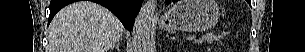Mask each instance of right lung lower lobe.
<instances>
[{
	"instance_id": "obj_1",
	"label": "right lung lower lobe",
	"mask_w": 305,
	"mask_h": 52,
	"mask_svg": "<svg viewBox=\"0 0 305 52\" xmlns=\"http://www.w3.org/2000/svg\"><path fill=\"white\" fill-rule=\"evenodd\" d=\"M78 0H51L50 15L48 24L51 22L55 14L64 6ZM96 2L109 9L124 25L131 31L135 21V16L140 10L143 0H89Z\"/></svg>"
}]
</instances>
